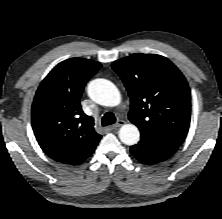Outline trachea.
<instances>
[{"instance_id":"1","label":"trachea","mask_w":222,"mask_h":219,"mask_svg":"<svg viewBox=\"0 0 222 219\" xmlns=\"http://www.w3.org/2000/svg\"><path fill=\"white\" fill-rule=\"evenodd\" d=\"M116 122V117L112 112H107L102 117V125L108 126Z\"/></svg>"}]
</instances>
